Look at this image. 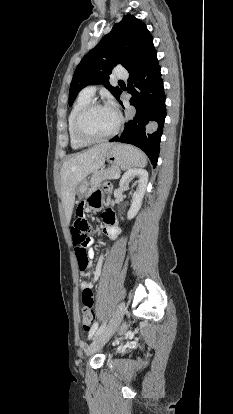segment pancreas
I'll list each match as a JSON object with an SVG mask.
<instances>
[{
  "label": "pancreas",
  "instance_id": "obj_1",
  "mask_svg": "<svg viewBox=\"0 0 233 414\" xmlns=\"http://www.w3.org/2000/svg\"><path fill=\"white\" fill-rule=\"evenodd\" d=\"M120 169L117 167H110L95 173L90 181V191H93L97 187L101 186V183L105 180L116 179V175H120Z\"/></svg>",
  "mask_w": 233,
  "mask_h": 414
}]
</instances>
